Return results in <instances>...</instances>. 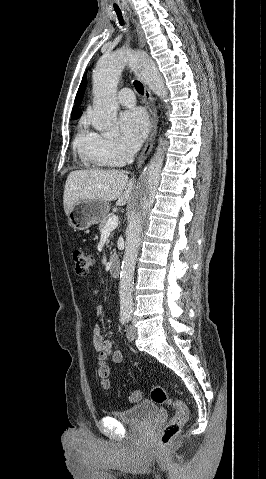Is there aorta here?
<instances>
[{"label": "aorta", "instance_id": "aorta-1", "mask_svg": "<svg viewBox=\"0 0 266 479\" xmlns=\"http://www.w3.org/2000/svg\"><path fill=\"white\" fill-rule=\"evenodd\" d=\"M145 64L144 53L140 51H115L103 55L93 73V109L89 120L96 130L115 136L118 134L117 122V84L126 65L139 68ZM147 64V61H146ZM163 82L154 80V88L159 94H164ZM155 183V174L147 170L141 180L140 187L133 201L135 219L126 233L125 252L120 272V312L130 314L133 303V279L141 237L145 228V204L149 201L152 187Z\"/></svg>", "mask_w": 266, "mask_h": 479}]
</instances>
